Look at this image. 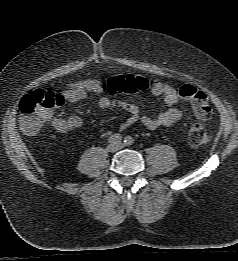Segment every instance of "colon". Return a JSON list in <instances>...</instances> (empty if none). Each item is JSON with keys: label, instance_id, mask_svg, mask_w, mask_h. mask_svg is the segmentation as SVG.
<instances>
[{"label": "colon", "instance_id": "5ec220e1", "mask_svg": "<svg viewBox=\"0 0 238 261\" xmlns=\"http://www.w3.org/2000/svg\"><path fill=\"white\" fill-rule=\"evenodd\" d=\"M149 82L137 75L116 76L103 83V90L109 95L133 94L147 90ZM180 98L187 100L196 117V122L188 131V141L199 147L208 143L209 135L204 122L211 117L212 109L206 94L192 85H183L179 89ZM63 103L58 94L37 90L26 94L20 101V128L26 135L35 134L47 121L51 109Z\"/></svg>", "mask_w": 238, "mask_h": 261}]
</instances>
